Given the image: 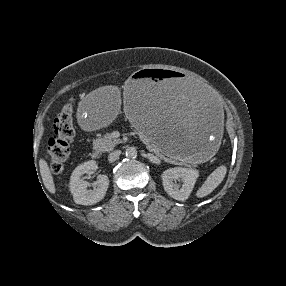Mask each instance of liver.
<instances>
[{
	"mask_svg": "<svg viewBox=\"0 0 286 286\" xmlns=\"http://www.w3.org/2000/svg\"><path fill=\"white\" fill-rule=\"evenodd\" d=\"M125 91H126V86H125ZM39 168H40V174H41L42 181H43L45 188L50 193L54 194L56 192V189H55L53 176L51 174V171L49 169L47 162L44 159H40Z\"/></svg>",
	"mask_w": 286,
	"mask_h": 286,
	"instance_id": "liver-1",
	"label": "liver"
}]
</instances>
